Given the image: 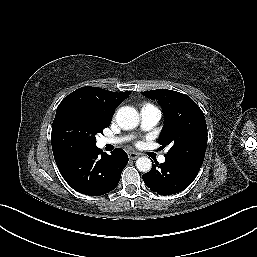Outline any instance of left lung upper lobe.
<instances>
[{
    "label": "left lung upper lobe",
    "instance_id": "left-lung-upper-lobe-1",
    "mask_svg": "<svg viewBox=\"0 0 257 257\" xmlns=\"http://www.w3.org/2000/svg\"><path fill=\"white\" fill-rule=\"evenodd\" d=\"M156 100L164 112V126L158 143L171 148L165 156L185 158L202 164L207 146V126L203 112L187 95L157 89L141 92Z\"/></svg>",
    "mask_w": 257,
    "mask_h": 257
}]
</instances>
